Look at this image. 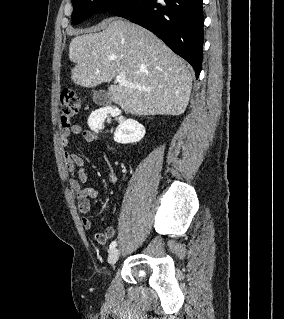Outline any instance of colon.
I'll use <instances>...</instances> for the list:
<instances>
[{
  "label": "colon",
  "mask_w": 284,
  "mask_h": 319,
  "mask_svg": "<svg viewBox=\"0 0 284 319\" xmlns=\"http://www.w3.org/2000/svg\"><path fill=\"white\" fill-rule=\"evenodd\" d=\"M59 108L63 128L69 127L81 109V100L73 90L66 89L61 93Z\"/></svg>",
  "instance_id": "5ec220e1"
}]
</instances>
